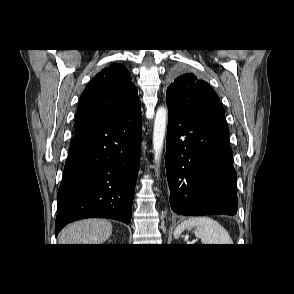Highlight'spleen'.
Here are the masks:
<instances>
[{"instance_id": "spleen-1", "label": "spleen", "mask_w": 294, "mask_h": 294, "mask_svg": "<svg viewBox=\"0 0 294 294\" xmlns=\"http://www.w3.org/2000/svg\"><path fill=\"white\" fill-rule=\"evenodd\" d=\"M202 244H233L228 232L216 220L201 216L190 217L182 221L174 230V238L178 239L184 230H193Z\"/></svg>"}]
</instances>
